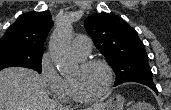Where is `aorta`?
Wrapping results in <instances>:
<instances>
[{
    "mask_svg": "<svg viewBox=\"0 0 171 110\" xmlns=\"http://www.w3.org/2000/svg\"><path fill=\"white\" fill-rule=\"evenodd\" d=\"M70 33L71 25L69 23L62 24L51 36L49 42L51 59L62 75L69 73L75 66L70 50Z\"/></svg>",
    "mask_w": 171,
    "mask_h": 110,
    "instance_id": "obj_1",
    "label": "aorta"
}]
</instances>
